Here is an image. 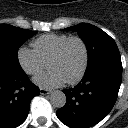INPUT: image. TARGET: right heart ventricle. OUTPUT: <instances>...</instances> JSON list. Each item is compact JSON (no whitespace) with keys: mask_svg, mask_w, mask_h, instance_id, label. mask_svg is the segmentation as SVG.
Listing matches in <instances>:
<instances>
[{"mask_svg":"<svg viewBox=\"0 0 128 128\" xmlns=\"http://www.w3.org/2000/svg\"><path fill=\"white\" fill-rule=\"evenodd\" d=\"M70 36L66 34H45L33 41L32 46L39 57L48 62L61 44Z\"/></svg>","mask_w":128,"mask_h":128,"instance_id":"obj_1","label":"right heart ventricle"}]
</instances>
